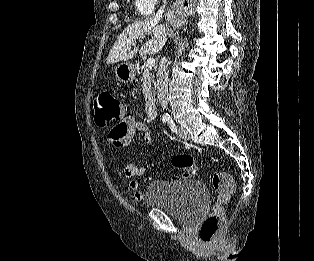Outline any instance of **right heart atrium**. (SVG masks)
Masks as SVG:
<instances>
[{
	"mask_svg": "<svg viewBox=\"0 0 314 261\" xmlns=\"http://www.w3.org/2000/svg\"><path fill=\"white\" fill-rule=\"evenodd\" d=\"M149 7V10H153L163 0H144Z\"/></svg>",
	"mask_w": 314,
	"mask_h": 261,
	"instance_id": "d8ad5b80",
	"label": "right heart atrium"
}]
</instances>
